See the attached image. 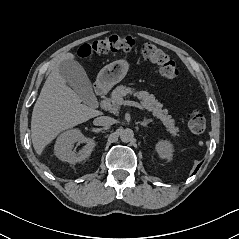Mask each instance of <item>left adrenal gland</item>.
Returning a JSON list of instances; mask_svg holds the SVG:
<instances>
[{
	"label": "left adrenal gland",
	"instance_id": "left-adrenal-gland-1",
	"mask_svg": "<svg viewBox=\"0 0 239 239\" xmlns=\"http://www.w3.org/2000/svg\"><path fill=\"white\" fill-rule=\"evenodd\" d=\"M152 122V119H144L142 122H140V124L143 126V127H146L149 123Z\"/></svg>",
	"mask_w": 239,
	"mask_h": 239
}]
</instances>
